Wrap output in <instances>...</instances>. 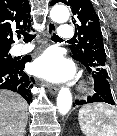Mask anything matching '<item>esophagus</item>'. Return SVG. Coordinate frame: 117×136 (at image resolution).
<instances>
[{
    "label": "esophagus",
    "instance_id": "1",
    "mask_svg": "<svg viewBox=\"0 0 117 136\" xmlns=\"http://www.w3.org/2000/svg\"><path fill=\"white\" fill-rule=\"evenodd\" d=\"M55 31H56L55 23L49 22L47 24V36H52ZM47 88L50 94H55L58 91V87L54 84H48Z\"/></svg>",
    "mask_w": 117,
    "mask_h": 136
}]
</instances>
